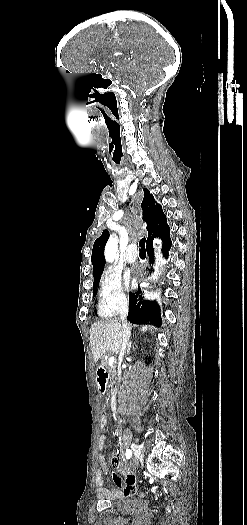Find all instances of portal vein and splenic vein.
Returning <instances> with one entry per match:
<instances>
[{"mask_svg": "<svg viewBox=\"0 0 247 525\" xmlns=\"http://www.w3.org/2000/svg\"><path fill=\"white\" fill-rule=\"evenodd\" d=\"M107 361L109 362L108 366H113V363L116 361L115 355L109 356Z\"/></svg>", "mask_w": 247, "mask_h": 525, "instance_id": "1", "label": "portal vein and splenic vein"}]
</instances>
